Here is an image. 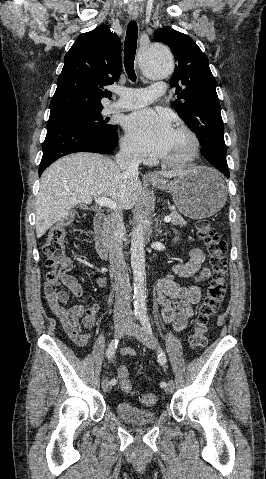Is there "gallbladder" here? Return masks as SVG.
<instances>
[{"instance_id": "obj_1", "label": "gallbladder", "mask_w": 266, "mask_h": 479, "mask_svg": "<svg viewBox=\"0 0 266 479\" xmlns=\"http://www.w3.org/2000/svg\"><path fill=\"white\" fill-rule=\"evenodd\" d=\"M80 207H81L82 209H86V208H87L85 204H80Z\"/></svg>"}]
</instances>
